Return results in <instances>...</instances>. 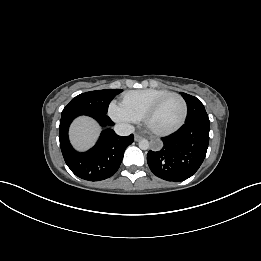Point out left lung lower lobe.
Returning <instances> with one entry per match:
<instances>
[{"label":"left lung lower lobe","instance_id":"obj_1","mask_svg":"<svg viewBox=\"0 0 261 261\" xmlns=\"http://www.w3.org/2000/svg\"><path fill=\"white\" fill-rule=\"evenodd\" d=\"M162 141L159 149L147 154L149 168L167 181L186 180L204 161L209 143V118L185 122L176 133Z\"/></svg>","mask_w":261,"mask_h":261}]
</instances>
